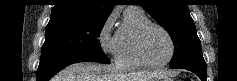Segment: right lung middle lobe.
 <instances>
[{
    "instance_id": "1",
    "label": "right lung middle lobe",
    "mask_w": 237,
    "mask_h": 81,
    "mask_svg": "<svg viewBox=\"0 0 237 81\" xmlns=\"http://www.w3.org/2000/svg\"><path fill=\"white\" fill-rule=\"evenodd\" d=\"M106 20L81 16L50 19L41 56L96 55L108 59L98 40Z\"/></svg>"
}]
</instances>
